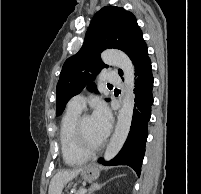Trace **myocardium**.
Here are the masks:
<instances>
[{"instance_id": "myocardium-1", "label": "myocardium", "mask_w": 201, "mask_h": 194, "mask_svg": "<svg viewBox=\"0 0 201 194\" xmlns=\"http://www.w3.org/2000/svg\"><path fill=\"white\" fill-rule=\"evenodd\" d=\"M88 117L90 116L87 114H83L78 117L75 123L74 132H75V140H76L78 149L85 155L91 156L97 153L103 147L104 141L100 142L99 144L95 146H90L87 144L84 138L82 125H83V121Z\"/></svg>"}]
</instances>
